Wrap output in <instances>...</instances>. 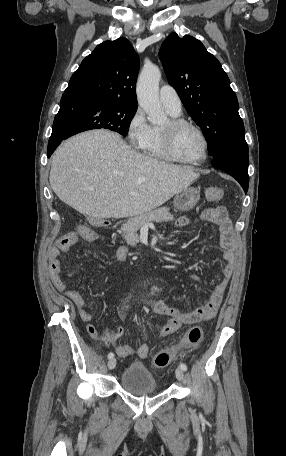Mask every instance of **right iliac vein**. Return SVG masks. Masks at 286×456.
<instances>
[{
    "label": "right iliac vein",
    "mask_w": 286,
    "mask_h": 456,
    "mask_svg": "<svg viewBox=\"0 0 286 456\" xmlns=\"http://www.w3.org/2000/svg\"><path fill=\"white\" fill-rule=\"evenodd\" d=\"M116 366V359L115 358H112L108 361V369L109 370H112L114 369Z\"/></svg>",
    "instance_id": "right-iliac-vein-1"
}]
</instances>
